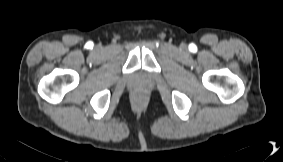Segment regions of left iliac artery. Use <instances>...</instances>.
Here are the masks:
<instances>
[{
  "mask_svg": "<svg viewBox=\"0 0 283 162\" xmlns=\"http://www.w3.org/2000/svg\"><path fill=\"white\" fill-rule=\"evenodd\" d=\"M194 48H195V46L193 44L189 46L190 50H193Z\"/></svg>",
  "mask_w": 283,
  "mask_h": 162,
  "instance_id": "obj_1",
  "label": "left iliac artery"
}]
</instances>
